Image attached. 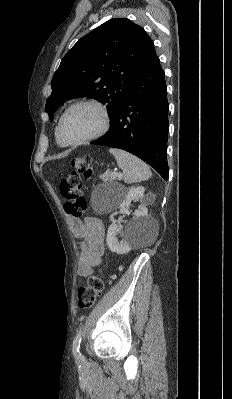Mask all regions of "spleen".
Masks as SVG:
<instances>
[{"label":"spleen","instance_id":"3e777b00","mask_svg":"<svg viewBox=\"0 0 232 399\" xmlns=\"http://www.w3.org/2000/svg\"><path fill=\"white\" fill-rule=\"evenodd\" d=\"M110 154H113L115 160H117L118 168L123 170V180L125 184H134V182H144L149 180L152 176V172L144 164L142 160L124 152V150H117V148H110Z\"/></svg>","mask_w":232,"mask_h":399}]
</instances>
